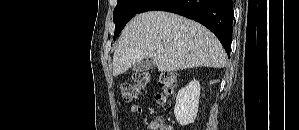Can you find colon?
Instances as JSON below:
<instances>
[{
    "label": "colon",
    "instance_id": "1",
    "mask_svg": "<svg viewBox=\"0 0 299 130\" xmlns=\"http://www.w3.org/2000/svg\"><path fill=\"white\" fill-rule=\"evenodd\" d=\"M150 80L151 76L148 72L135 73L130 82L121 85L122 98L127 102L132 101L150 83ZM157 82L160 93L156 99L159 103H164L167 96L172 94L176 88L177 76L173 72H162L159 74ZM147 127L148 130H173L171 126L159 119L149 122Z\"/></svg>",
    "mask_w": 299,
    "mask_h": 130
}]
</instances>
